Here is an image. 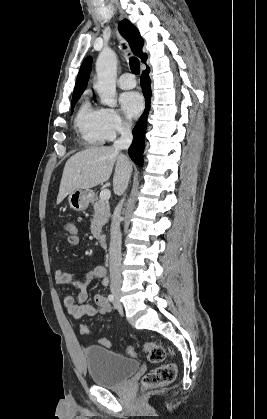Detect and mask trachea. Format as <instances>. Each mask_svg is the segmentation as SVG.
<instances>
[{"mask_svg": "<svg viewBox=\"0 0 267 419\" xmlns=\"http://www.w3.org/2000/svg\"><path fill=\"white\" fill-rule=\"evenodd\" d=\"M129 64H130V69L131 71L138 75L140 73V62L137 58L135 57H131L129 60Z\"/></svg>", "mask_w": 267, "mask_h": 419, "instance_id": "obj_1", "label": "trachea"}]
</instances>
